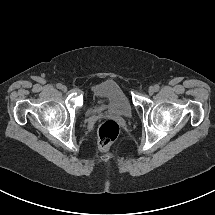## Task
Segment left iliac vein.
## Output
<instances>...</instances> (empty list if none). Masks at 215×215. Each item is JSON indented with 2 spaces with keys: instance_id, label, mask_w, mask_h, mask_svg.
Returning <instances> with one entry per match:
<instances>
[{
  "instance_id": "left-iliac-vein-1",
  "label": "left iliac vein",
  "mask_w": 215,
  "mask_h": 215,
  "mask_svg": "<svg viewBox=\"0 0 215 215\" xmlns=\"http://www.w3.org/2000/svg\"><path fill=\"white\" fill-rule=\"evenodd\" d=\"M155 92H156V90H155V88H154L153 86L149 87L148 93H149L150 95H152V94L155 93Z\"/></svg>"
}]
</instances>
